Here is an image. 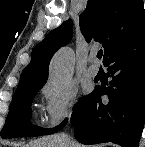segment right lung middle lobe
I'll list each match as a JSON object with an SVG mask.
<instances>
[{"label":"right lung middle lobe","instance_id":"obj_1","mask_svg":"<svg viewBox=\"0 0 145 147\" xmlns=\"http://www.w3.org/2000/svg\"><path fill=\"white\" fill-rule=\"evenodd\" d=\"M42 86H33L16 90L10 104L9 114L1 131V137H34L53 134L61 130L67 123V119L59 126L51 129H44L30 124L32 115L31 103ZM88 96L82 97L74 106L72 115L81 107Z\"/></svg>","mask_w":145,"mask_h":147}]
</instances>
